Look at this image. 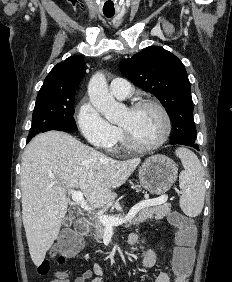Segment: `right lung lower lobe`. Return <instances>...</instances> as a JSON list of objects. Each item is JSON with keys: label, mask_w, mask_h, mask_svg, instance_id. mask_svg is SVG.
Masks as SVG:
<instances>
[{"label": "right lung lower lobe", "mask_w": 232, "mask_h": 282, "mask_svg": "<svg viewBox=\"0 0 232 282\" xmlns=\"http://www.w3.org/2000/svg\"><path fill=\"white\" fill-rule=\"evenodd\" d=\"M52 130L69 131V130L64 129V128H55V129H52ZM27 141L29 142L30 140H27Z\"/></svg>", "instance_id": "1"}]
</instances>
